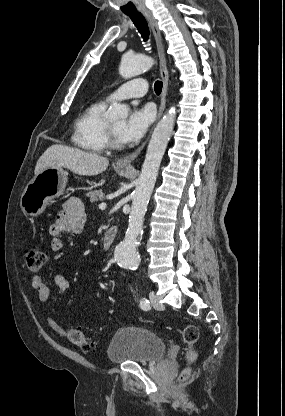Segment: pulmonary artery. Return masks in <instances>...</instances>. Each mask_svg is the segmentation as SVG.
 Wrapping results in <instances>:
<instances>
[{
	"label": "pulmonary artery",
	"mask_w": 285,
	"mask_h": 416,
	"mask_svg": "<svg viewBox=\"0 0 285 416\" xmlns=\"http://www.w3.org/2000/svg\"><path fill=\"white\" fill-rule=\"evenodd\" d=\"M148 94L146 80L142 77L132 79L123 85L113 93H111L107 100L114 98H128V97H140Z\"/></svg>",
	"instance_id": "obj_1"
}]
</instances>
